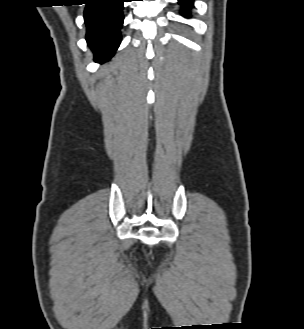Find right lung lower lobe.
<instances>
[{"label":"right lung lower lobe","instance_id":"obj_1","mask_svg":"<svg viewBox=\"0 0 304 329\" xmlns=\"http://www.w3.org/2000/svg\"><path fill=\"white\" fill-rule=\"evenodd\" d=\"M125 0H86V41L97 61L109 60L121 42Z\"/></svg>","mask_w":304,"mask_h":329}]
</instances>
